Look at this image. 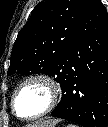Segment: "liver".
<instances>
[{"label":"liver","mask_w":108,"mask_h":127,"mask_svg":"<svg viewBox=\"0 0 108 127\" xmlns=\"http://www.w3.org/2000/svg\"><path fill=\"white\" fill-rule=\"evenodd\" d=\"M58 121L53 119V120H45V121H42V122H36L35 124L33 125H28L26 127H35V126H39V125H48V124H54V123H57Z\"/></svg>","instance_id":"liver-1"}]
</instances>
